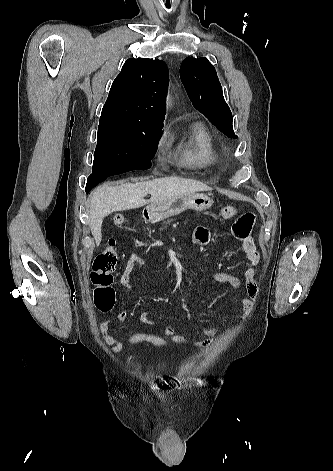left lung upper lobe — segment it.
Here are the masks:
<instances>
[{"label":"left lung upper lobe","instance_id":"1","mask_svg":"<svg viewBox=\"0 0 333 471\" xmlns=\"http://www.w3.org/2000/svg\"><path fill=\"white\" fill-rule=\"evenodd\" d=\"M180 78L193 106L226 136L236 138L232 113L213 65L206 58L187 57L181 64Z\"/></svg>","mask_w":333,"mask_h":471}]
</instances>
